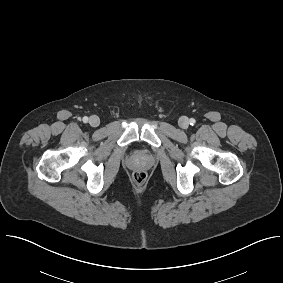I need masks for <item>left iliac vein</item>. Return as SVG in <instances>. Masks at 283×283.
<instances>
[{"instance_id": "obj_1", "label": "left iliac vein", "mask_w": 283, "mask_h": 283, "mask_svg": "<svg viewBox=\"0 0 283 283\" xmlns=\"http://www.w3.org/2000/svg\"><path fill=\"white\" fill-rule=\"evenodd\" d=\"M179 126H180L181 128H183V129L188 128V126H189V120H188V118H187V117H181V118L179 119Z\"/></svg>"}]
</instances>
